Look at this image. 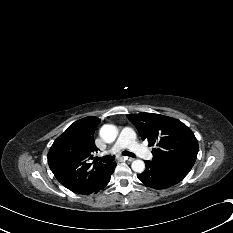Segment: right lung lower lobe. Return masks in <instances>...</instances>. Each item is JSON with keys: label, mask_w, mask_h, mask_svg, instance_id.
<instances>
[{"label": "right lung lower lobe", "mask_w": 233, "mask_h": 233, "mask_svg": "<svg viewBox=\"0 0 233 233\" xmlns=\"http://www.w3.org/2000/svg\"><path fill=\"white\" fill-rule=\"evenodd\" d=\"M115 166L116 163L110 164V167L107 169L102 179L97 182V184L91 189L90 193H97L100 189L104 188L109 183L110 176L114 172Z\"/></svg>", "instance_id": "right-lung-lower-lobe-1"}]
</instances>
